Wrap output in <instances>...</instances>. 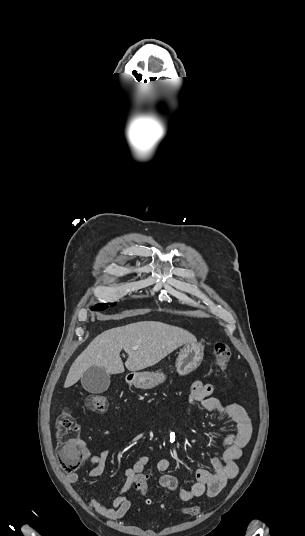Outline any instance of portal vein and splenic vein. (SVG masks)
I'll return each instance as SVG.
<instances>
[{
	"instance_id": "portal-vein-and-splenic-vein-1",
	"label": "portal vein and splenic vein",
	"mask_w": 305,
	"mask_h": 536,
	"mask_svg": "<svg viewBox=\"0 0 305 536\" xmlns=\"http://www.w3.org/2000/svg\"><path fill=\"white\" fill-rule=\"evenodd\" d=\"M139 346H135V348H132V350H138Z\"/></svg>"
}]
</instances>
